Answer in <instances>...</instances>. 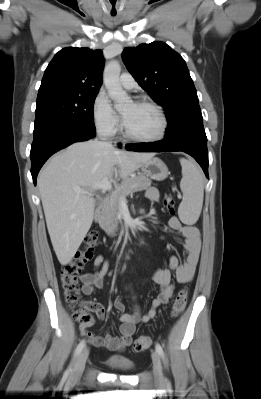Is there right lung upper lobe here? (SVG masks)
<instances>
[{"label":"right lung upper lobe","mask_w":261,"mask_h":399,"mask_svg":"<svg viewBox=\"0 0 261 399\" xmlns=\"http://www.w3.org/2000/svg\"><path fill=\"white\" fill-rule=\"evenodd\" d=\"M103 57L101 50L67 47L59 51L45 70L38 97L51 94H98Z\"/></svg>","instance_id":"cb5924a9"}]
</instances>
